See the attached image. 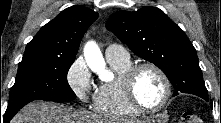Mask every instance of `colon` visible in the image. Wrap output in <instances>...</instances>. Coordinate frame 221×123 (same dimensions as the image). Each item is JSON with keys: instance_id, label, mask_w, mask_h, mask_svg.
<instances>
[{"instance_id": "1", "label": "colon", "mask_w": 221, "mask_h": 123, "mask_svg": "<svg viewBox=\"0 0 221 123\" xmlns=\"http://www.w3.org/2000/svg\"><path fill=\"white\" fill-rule=\"evenodd\" d=\"M203 119L190 111H185L182 113L181 118H180V123H203Z\"/></svg>"}]
</instances>
